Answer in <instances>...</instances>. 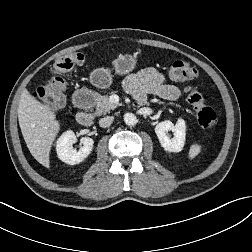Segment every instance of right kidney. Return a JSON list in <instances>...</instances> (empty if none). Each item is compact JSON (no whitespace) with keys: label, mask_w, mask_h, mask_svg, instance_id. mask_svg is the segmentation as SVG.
I'll return each instance as SVG.
<instances>
[{"label":"right kidney","mask_w":252,"mask_h":252,"mask_svg":"<svg viewBox=\"0 0 252 252\" xmlns=\"http://www.w3.org/2000/svg\"><path fill=\"white\" fill-rule=\"evenodd\" d=\"M77 138L73 131L63 133L56 142V151L59 159L67 164L76 165L89 156L92 151L94 140L89 137H83L80 140L82 145L77 151L73 144Z\"/></svg>","instance_id":"ca27d5eb"}]
</instances>
